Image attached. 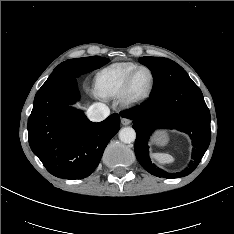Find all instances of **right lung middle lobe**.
Wrapping results in <instances>:
<instances>
[{"instance_id": "obj_1", "label": "right lung middle lobe", "mask_w": 234, "mask_h": 234, "mask_svg": "<svg viewBox=\"0 0 234 234\" xmlns=\"http://www.w3.org/2000/svg\"><path fill=\"white\" fill-rule=\"evenodd\" d=\"M108 62V58H103L99 56L69 59L59 64L53 72L58 70H67L74 76L78 77L79 75L98 69L103 65L107 64Z\"/></svg>"}]
</instances>
